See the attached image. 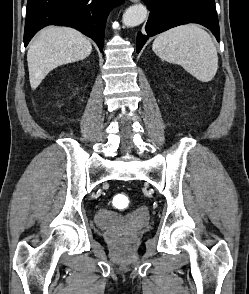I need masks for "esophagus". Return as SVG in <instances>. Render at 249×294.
<instances>
[{
  "label": "esophagus",
  "mask_w": 249,
  "mask_h": 294,
  "mask_svg": "<svg viewBox=\"0 0 249 294\" xmlns=\"http://www.w3.org/2000/svg\"><path fill=\"white\" fill-rule=\"evenodd\" d=\"M130 1L133 2V3L139 2V0H130Z\"/></svg>",
  "instance_id": "1"
}]
</instances>
